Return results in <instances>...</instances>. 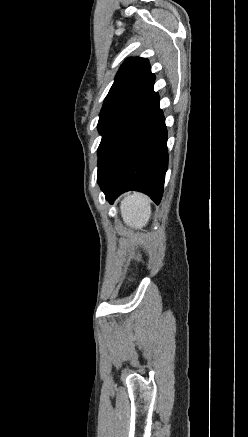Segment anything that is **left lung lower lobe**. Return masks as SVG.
<instances>
[{"instance_id": "left-lung-lower-lobe-1", "label": "left lung lower lobe", "mask_w": 248, "mask_h": 437, "mask_svg": "<svg viewBox=\"0 0 248 437\" xmlns=\"http://www.w3.org/2000/svg\"><path fill=\"white\" fill-rule=\"evenodd\" d=\"M167 166V130L155 93L109 139L99 161L98 183L110 203L136 190L159 204Z\"/></svg>"}]
</instances>
